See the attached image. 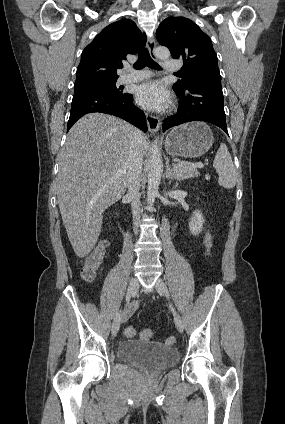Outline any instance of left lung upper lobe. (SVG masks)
Segmentation results:
<instances>
[{
  "mask_svg": "<svg viewBox=\"0 0 285 424\" xmlns=\"http://www.w3.org/2000/svg\"><path fill=\"white\" fill-rule=\"evenodd\" d=\"M156 37L161 45L169 48L174 59H183L180 77L173 88L185 91L191 84L202 80H218L221 76L217 55L211 39L193 21L184 17H168L163 20Z\"/></svg>",
  "mask_w": 285,
  "mask_h": 424,
  "instance_id": "obj_1",
  "label": "left lung upper lobe"
}]
</instances>
